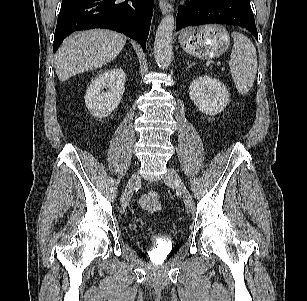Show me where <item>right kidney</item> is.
Returning a JSON list of instances; mask_svg holds the SVG:
<instances>
[{
  "label": "right kidney",
  "instance_id": "ca27d5eb",
  "mask_svg": "<svg viewBox=\"0 0 307 301\" xmlns=\"http://www.w3.org/2000/svg\"><path fill=\"white\" fill-rule=\"evenodd\" d=\"M126 75L121 68H113L98 75L85 95V104L90 113L103 118L110 115L120 104L125 91ZM107 89L103 91V89Z\"/></svg>",
  "mask_w": 307,
  "mask_h": 301
}]
</instances>
